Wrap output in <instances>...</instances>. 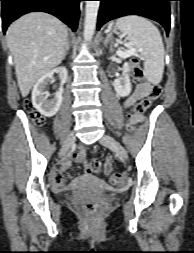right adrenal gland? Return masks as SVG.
Segmentation results:
<instances>
[{"instance_id": "obj_1", "label": "right adrenal gland", "mask_w": 194, "mask_h": 253, "mask_svg": "<svg viewBox=\"0 0 194 253\" xmlns=\"http://www.w3.org/2000/svg\"><path fill=\"white\" fill-rule=\"evenodd\" d=\"M69 51V39L67 37L66 45H65V52L63 55V59H65L67 52Z\"/></svg>"}]
</instances>
